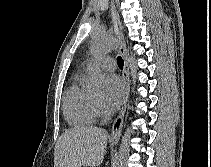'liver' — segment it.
<instances>
[{
    "instance_id": "1",
    "label": "liver",
    "mask_w": 211,
    "mask_h": 167,
    "mask_svg": "<svg viewBox=\"0 0 211 167\" xmlns=\"http://www.w3.org/2000/svg\"><path fill=\"white\" fill-rule=\"evenodd\" d=\"M107 132L97 127H75L65 131L54 150V167L99 166L104 161Z\"/></svg>"
}]
</instances>
